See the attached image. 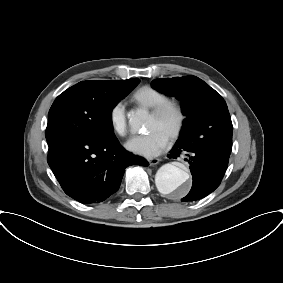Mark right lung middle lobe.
<instances>
[{
  "label": "right lung middle lobe",
  "mask_w": 283,
  "mask_h": 283,
  "mask_svg": "<svg viewBox=\"0 0 283 283\" xmlns=\"http://www.w3.org/2000/svg\"><path fill=\"white\" fill-rule=\"evenodd\" d=\"M139 82V79H129L103 85L83 81L68 88L49 110L45 133L48 145L73 137L101 139L115 135L112 110Z\"/></svg>",
  "instance_id": "dd1d6c3e"
}]
</instances>
